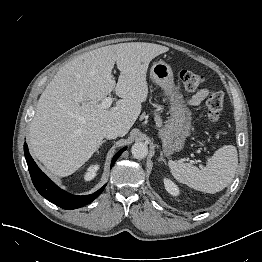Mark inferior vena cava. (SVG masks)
Here are the masks:
<instances>
[{"mask_svg":"<svg viewBox=\"0 0 262 262\" xmlns=\"http://www.w3.org/2000/svg\"><path fill=\"white\" fill-rule=\"evenodd\" d=\"M102 134L107 139H115L120 136V128L115 124H107L102 128Z\"/></svg>","mask_w":262,"mask_h":262,"instance_id":"1","label":"inferior vena cava"}]
</instances>
